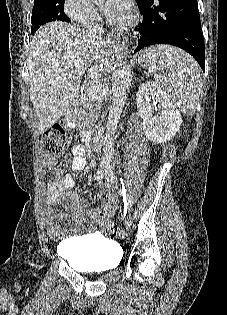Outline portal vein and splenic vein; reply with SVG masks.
<instances>
[{
  "instance_id": "portal-vein-and-splenic-vein-1",
  "label": "portal vein and splenic vein",
  "mask_w": 227,
  "mask_h": 315,
  "mask_svg": "<svg viewBox=\"0 0 227 315\" xmlns=\"http://www.w3.org/2000/svg\"><path fill=\"white\" fill-rule=\"evenodd\" d=\"M81 64H83V62H80V61H75V62H74V65L77 66V67H80ZM87 91L89 92L90 95L93 96V95H95L97 92L100 91V88L97 87V86H92V87L88 88Z\"/></svg>"
}]
</instances>
